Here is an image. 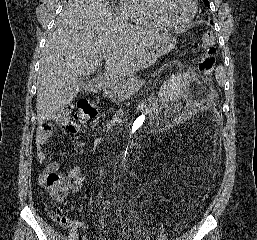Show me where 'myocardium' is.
I'll return each mask as SVG.
<instances>
[{
    "label": "myocardium",
    "mask_w": 257,
    "mask_h": 240,
    "mask_svg": "<svg viewBox=\"0 0 257 240\" xmlns=\"http://www.w3.org/2000/svg\"><path fill=\"white\" fill-rule=\"evenodd\" d=\"M191 2V12L189 16L182 22H172L170 21L163 13L162 8H161V0H151V6L154 14L156 17L164 23L166 26L171 27V28H184L188 26L192 20L194 19L197 10H198V5L196 0H190Z\"/></svg>",
    "instance_id": "f54148a6"
}]
</instances>
